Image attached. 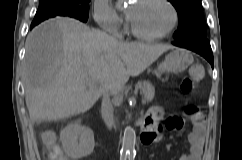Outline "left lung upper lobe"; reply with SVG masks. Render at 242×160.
Listing matches in <instances>:
<instances>
[{
	"instance_id": "5c2ea615",
	"label": "left lung upper lobe",
	"mask_w": 242,
	"mask_h": 160,
	"mask_svg": "<svg viewBox=\"0 0 242 160\" xmlns=\"http://www.w3.org/2000/svg\"><path fill=\"white\" fill-rule=\"evenodd\" d=\"M178 12L179 25L175 41L190 38H206V23L201 0H168Z\"/></svg>"
}]
</instances>
